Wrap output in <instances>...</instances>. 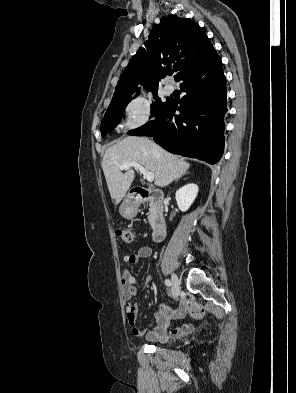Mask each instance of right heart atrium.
I'll return each mask as SVG.
<instances>
[{
    "label": "right heart atrium",
    "mask_w": 296,
    "mask_h": 393,
    "mask_svg": "<svg viewBox=\"0 0 296 393\" xmlns=\"http://www.w3.org/2000/svg\"><path fill=\"white\" fill-rule=\"evenodd\" d=\"M152 104L142 96L131 99L125 106L126 126L136 129L145 125L152 117Z\"/></svg>",
    "instance_id": "right-heart-atrium-1"
}]
</instances>
